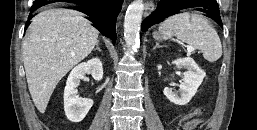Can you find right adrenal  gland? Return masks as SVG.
I'll use <instances>...</instances> for the list:
<instances>
[{
    "instance_id": "obj_1",
    "label": "right adrenal gland",
    "mask_w": 257,
    "mask_h": 130,
    "mask_svg": "<svg viewBox=\"0 0 257 130\" xmlns=\"http://www.w3.org/2000/svg\"><path fill=\"white\" fill-rule=\"evenodd\" d=\"M96 50H98L99 52H102V50H101L100 47H99L98 42H97V44H96V48H95L93 51H96Z\"/></svg>"
}]
</instances>
